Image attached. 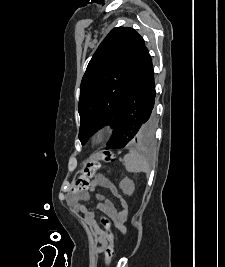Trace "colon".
Listing matches in <instances>:
<instances>
[{
    "mask_svg": "<svg viewBox=\"0 0 225 267\" xmlns=\"http://www.w3.org/2000/svg\"><path fill=\"white\" fill-rule=\"evenodd\" d=\"M113 160L114 155L109 151L100 152L87 160L81 169L79 177L74 183V193H82L88 189L90 179L94 176L99 168L100 162L109 163ZM100 221L105 228V234L107 238V245L105 247L104 255L105 265L108 267L114 256V235L110 230V221L106 214L102 215Z\"/></svg>",
    "mask_w": 225,
    "mask_h": 267,
    "instance_id": "colon-1",
    "label": "colon"
}]
</instances>
